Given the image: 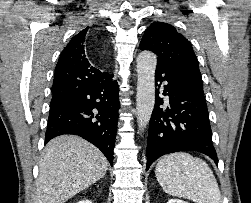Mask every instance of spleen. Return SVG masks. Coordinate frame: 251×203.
<instances>
[{"instance_id": "1", "label": "spleen", "mask_w": 251, "mask_h": 203, "mask_svg": "<svg viewBox=\"0 0 251 203\" xmlns=\"http://www.w3.org/2000/svg\"><path fill=\"white\" fill-rule=\"evenodd\" d=\"M155 175L163 190L196 203H222L212 170L200 158L179 152L162 157Z\"/></svg>"}]
</instances>
